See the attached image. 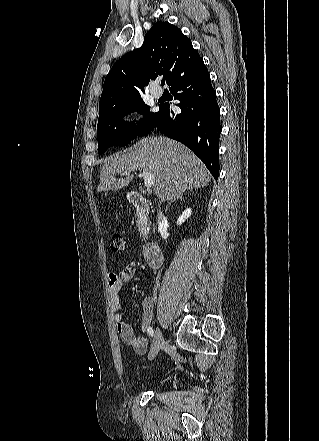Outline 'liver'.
<instances>
[{"instance_id":"1","label":"liver","mask_w":319,"mask_h":441,"mask_svg":"<svg viewBox=\"0 0 319 441\" xmlns=\"http://www.w3.org/2000/svg\"><path fill=\"white\" fill-rule=\"evenodd\" d=\"M145 170L155 177L153 192L161 200L181 199L186 190L205 187L211 175L194 153L167 137H144L129 152L110 156L100 173L97 192L127 186L133 175L116 179V173Z\"/></svg>"}]
</instances>
